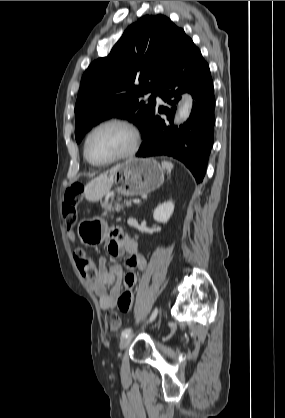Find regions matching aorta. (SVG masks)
<instances>
[{"label":"aorta","mask_w":285,"mask_h":418,"mask_svg":"<svg viewBox=\"0 0 285 418\" xmlns=\"http://www.w3.org/2000/svg\"><path fill=\"white\" fill-rule=\"evenodd\" d=\"M191 110L192 98L189 94H186L178 108L177 114L175 116V121L177 123L186 121L190 116Z\"/></svg>","instance_id":"obj_1"}]
</instances>
